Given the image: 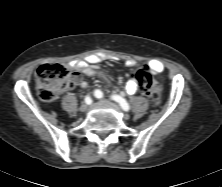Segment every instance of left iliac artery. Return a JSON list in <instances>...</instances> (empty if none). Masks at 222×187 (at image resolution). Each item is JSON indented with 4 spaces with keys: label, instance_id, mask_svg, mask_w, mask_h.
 <instances>
[{
    "label": "left iliac artery",
    "instance_id": "1",
    "mask_svg": "<svg viewBox=\"0 0 222 187\" xmlns=\"http://www.w3.org/2000/svg\"><path fill=\"white\" fill-rule=\"evenodd\" d=\"M95 96H96L97 98H102V97L104 96V94H103L102 91L96 90V91H95ZM110 98H111L112 100L118 102L124 111H129L130 106H129L128 102H127L124 98H122V97L119 96V95H112Z\"/></svg>",
    "mask_w": 222,
    "mask_h": 187
}]
</instances>
